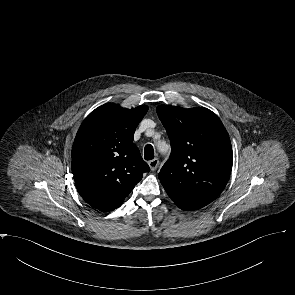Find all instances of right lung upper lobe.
Here are the masks:
<instances>
[{"label": "right lung upper lobe", "instance_id": "cb5924a9", "mask_svg": "<svg viewBox=\"0 0 295 295\" xmlns=\"http://www.w3.org/2000/svg\"><path fill=\"white\" fill-rule=\"evenodd\" d=\"M148 107L104 104L81 124L72 147V172L82 198L93 208H118L150 170L133 135Z\"/></svg>", "mask_w": 295, "mask_h": 295}]
</instances>
